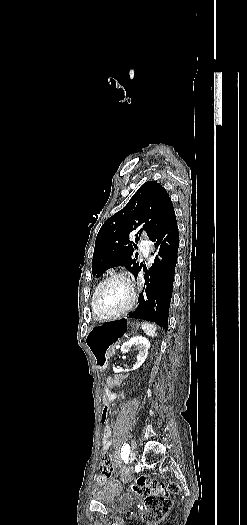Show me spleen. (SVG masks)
Listing matches in <instances>:
<instances>
[{"instance_id": "3e777b00", "label": "spleen", "mask_w": 247, "mask_h": 525, "mask_svg": "<svg viewBox=\"0 0 247 525\" xmlns=\"http://www.w3.org/2000/svg\"><path fill=\"white\" fill-rule=\"evenodd\" d=\"M141 329H143L148 337H157V333H155L156 325H154V323H142Z\"/></svg>"}]
</instances>
